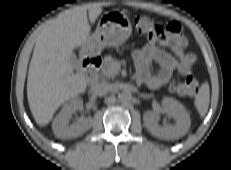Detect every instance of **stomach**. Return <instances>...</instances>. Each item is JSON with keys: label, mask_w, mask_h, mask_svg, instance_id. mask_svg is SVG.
Wrapping results in <instances>:
<instances>
[{"label": "stomach", "mask_w": 231, "mask_h": 170, "mask_svg": "<svg viewBox=\"0 0 231 170\" xmlns=\"http://www.w3.org/2000/svg\"><path fill=\"white\" fill-rule=\"evenodd\" d=\"M132 26L127 15L105 12L99 19L96 30L89 36L85 47L101 51L105 47L122 45L131 35Z\"/></svg>", "instance_id": "stomach-1"}]
</instances>
